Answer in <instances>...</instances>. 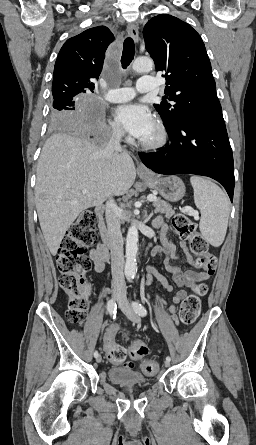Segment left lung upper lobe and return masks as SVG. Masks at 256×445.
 <instances>
[{"label":"left lung upper lobe","instance_id":"1","mask_svg":"<svg viewBox=\"0 0 256 445\" xmlns=\"http://www.w3.org/2000/svg\"><path fill=\"white\" fill-rule=\"evenodd\" d=\"M145 47L157 71L166 79V100L154 104L165 125L175 123L183 114L222 116L216 85L205 45L199 34L180 19L160 14L143 29Z\"/></svg>","mask_w":256,"mask_h":445}]
</instances>
